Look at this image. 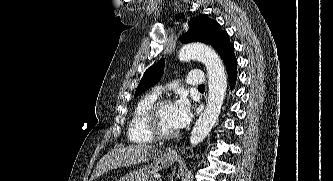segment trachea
<instances>
[{"instance_id":"3493384b","label":"trachea","mask_w":333,"mask_h":181,"mask_svg":"<svg viewBox=\"0 0 333 181\" xmlns=\"http://www.w3.org/2000/svg\"><path fill=\"white\" fill-rule=\"evenodd\" d=\"M198 89H205V86L202 84V85H199L198 86Z\"/></svg>"}]
</instances>
